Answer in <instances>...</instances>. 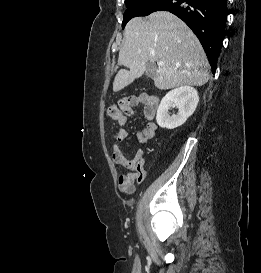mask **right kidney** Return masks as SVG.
<instances>
[{
	"label": "right kidney",
	"instance_id": "ca27d5eb",
	"mask_svg": "<svg viewBox=\"0 0 261 273\" xmlns=\"http://www.w3.org/2000/svg\"><path fill=\"white\" fill-rule=\"evenodd\" d=\"M198 102V92L191 86H181L169 91L158 107L157 124L166 129H175L183 125L194 113ZM173 107L178 108V113L170 116L169 109Z\"/></svg>",
	"mask_w": 261,
	"mask_h": 273
}]
</instances>
